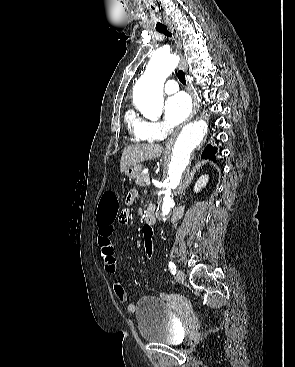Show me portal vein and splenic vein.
Returning <instances> with one entry per match:
<instances>
[{"label":"portal vein and splenic vein","mask_w":295,"mask_h":367,"mask_svg":"<svg viewBox=\"0 0 295 367\" xmlns=\"http://www.w3.org/2000/svg\"><path fill=\"white\" fill-rule=\"evenodd\" d=\"M150 183H151V182H150V178H148V179L146 180V185H148V186H149V185H150Z\"/></svg>","instance_id":"1"}]
</instances>
